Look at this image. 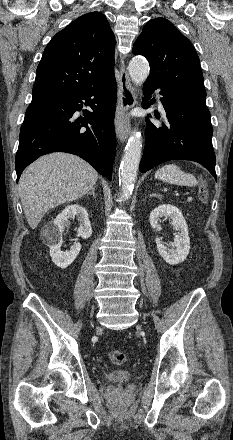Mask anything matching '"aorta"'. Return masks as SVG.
<instances>
[{
	"label": "aorta",
	"mask_w": 233,
	"mask_h": 440,
	"mask_svg": "<svg viewBox=\"0 0 233 440\" xmlns=\"http://www.w3.org/2000/svg\"><path fill=\"white\" fill-rule=\"evenodd\" d=\"M129 75L135 85H141L149 75V64L143 57H134L128 66ZM141 132L134 130L125 147V153L120 165L119 184L124 198L132 194L141 160Z\"/></svg>",
	"instance_id": "1"
}]
</instances>
